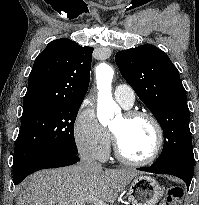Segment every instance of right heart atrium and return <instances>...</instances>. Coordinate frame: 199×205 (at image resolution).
<instances>
[{
  "label": "right heart atrium",
  "instance_id": "d8ad5b80",
  "mask_svg": "<svg viewBox=\"0 0 199 205\" xmlns=\"http://www.w3.org/2000/svg\"><path fill=\"white\" fill-rule=\"evenodd\" d=\"M73 133L76 147L83 156L104 161L108 158L111 135L99 122L93 104L85 100L74 120Z\"/></svg>",
  "mask_w": 199,
  "mask_h": 205
}]
</instances>
